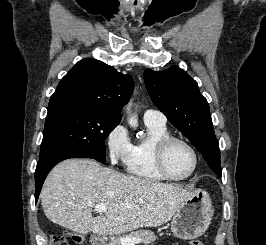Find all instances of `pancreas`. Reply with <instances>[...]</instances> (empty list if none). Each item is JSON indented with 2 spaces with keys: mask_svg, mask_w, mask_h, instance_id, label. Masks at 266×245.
Wrapping results in <instances>:
<instances>
[{
  "mask_svg": "<svg viewBox=\"0 0 266 245\" xmlns=\"http://www.w3.org/2000/svg\"><path fill=\"white\" fill-rule=\"evenodd\" d=\"M129 237H140L142 239L141 243H135V245H148V243H154L157 241L158 237L152 233V231H135V233H130ZM109 245H120L119 241H110Z\"/></svg>",
  "mask_w": 266,
  "mask_h": 245,
  "instance_id": "obj_1",
  "label": "pancreas"
}]
</instances>
